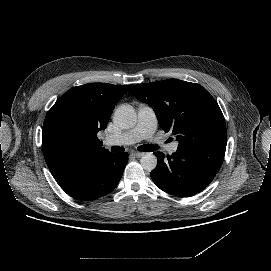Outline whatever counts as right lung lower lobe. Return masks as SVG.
<instances>
[{"mask_svg":"<svg viewBox=\"0 0 271 271\" xmlns=\"http://www.w3.org/2000/svg\"><path fill=\"white\" fill-rule=\"evenodd\" d=\"M128 153L84 155L57 169L52 175L71 197L91 201L112 192L119 183Z\"/></svg>","mask_w":271,"mask_h":271,"instance_id":"1","label":"right lung lower lobe"}]
</instances>
